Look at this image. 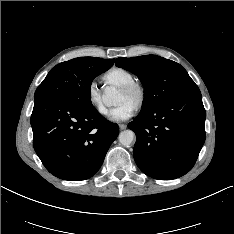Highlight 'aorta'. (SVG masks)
<instances>
[{
	"mask_svg": "<svg viewBox=\"0 0 234 234\" xmlns=\"http://www.w3.org/2000/svg\"><path fill=\"white\" fill-rule=\"evenodd\" d=\"M116 93V90L113 89V88H108L104 95H103V101L106 103V104H111L112 103V97L113 95ZM134 137H135V134L132 130H125V131H122L120 134H119V142L123 145V146H130L133 141H134Z\"/></svg>",
	"mask_w": 234,
	"mask_h": 234,
	"instance_id": "1",
	"label": "aorta"
}]
</instances>
